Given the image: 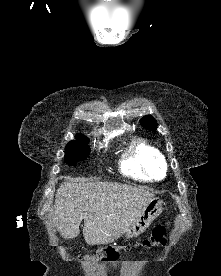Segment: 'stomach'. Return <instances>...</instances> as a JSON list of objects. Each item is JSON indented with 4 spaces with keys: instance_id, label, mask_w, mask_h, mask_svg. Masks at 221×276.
Wrapping results in <instances>:
<instances>
[{
    "instance_id": "0dacf381",
    "label": "stomach",
    "mask_w": 221,
    "mask_h": 276,
    "mask_svg": "<svg viewBox=\"0 0 221 276\" xmlns=\"http://www.w3.org/2000/svg\"><path fill=\"white\" fill-rule=\"evenodd\" d=\"M164 202L154 197L143 209L140 217L125 233V238L130 239L143 233L152 221L162 212Z\"/></svg>"
}]
</instances>
